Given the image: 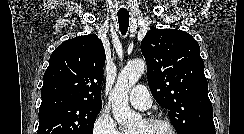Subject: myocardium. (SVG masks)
<instances>
[{
	"mask_svg": "<svg viewBox=\"0 0 244 134\" xmlns=\"http://www.w3.org/2000/svg\"><path fill=\"white\" fill-rule=\"evenodd\" d=\"M147 125H162L165 126L171 134H178V131L176 130V128L174 127V125L165 119H160V118H150V119H146L144 121Z\"/></svg>",
	"mask_w": 244,
	"mask_h": 134,
	"instance_id": "myocardium-1",
	"label": "myocardium"
}]
</instances>
